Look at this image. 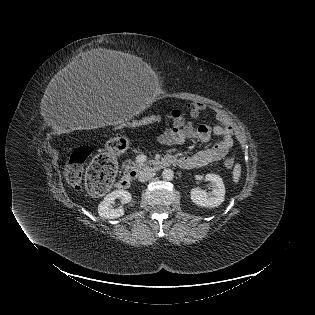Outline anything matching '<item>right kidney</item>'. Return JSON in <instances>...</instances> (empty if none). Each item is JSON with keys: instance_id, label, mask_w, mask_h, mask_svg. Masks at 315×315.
<instances>
[{"instance_id": "ca27d5eb", "label": "right kidney", "mask_w": 315, "mask_h": 315, "mask_svg": "<svg viewBox=\"0 0 315 315\" xmlns=\"http://www.w3.org/2000/svg\"><path fill=\"white\" fill-rule=\"evenodd\" d=\"M116 199H121L122 204L129 203L132 199L131 194L123 189L115 190L106 195L98 206V213L104 219H117L124 215L122 207L114 208L113 204Z\"/></svg>"}]
</instances>
